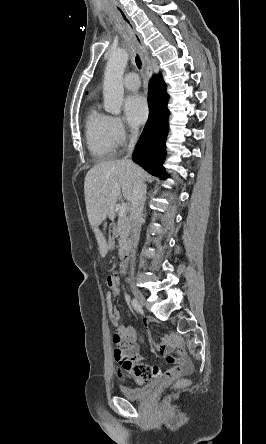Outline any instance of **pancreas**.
Here are the masks:
<instances>
[{
    "label": "pancreas",
    "instance_id": "cf45deb5",
    "mask_svg": "<svg viewBox=\"0 0 266 444\" xmlns=\"http://www.w3.org/2000/svg\"><path fill=\"white\" fill-rule=\"evenodd\" d=\"M116 233L119 236L120 256H123V250L128 248L129 236V219L125 215L120 216L117 220Z\"/></svg>",
    "mask_w": 266,
    "mask_h": 444
}]
</instances>
